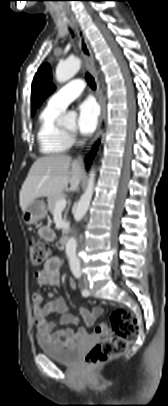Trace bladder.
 Returning <instances> with one entry per match:
<instances>
[{"instance_id": "bladder-1", "label": "bladder", "mask_w": 168, "mask_h": 406, "mask_svg": "<svg viewBox=\"0 0 168 406\" xmlns=\"http://www.w3.org/2000/svg\"><path fill=\"white\" fill-rule=\"evenodd\" d=\"M38 345L42 352L56 362L72 365L80 355L78 346H60L38 337Z\"/></svg>"}]
</instances>
